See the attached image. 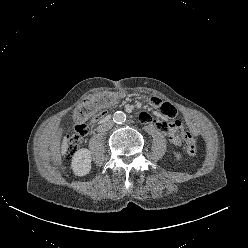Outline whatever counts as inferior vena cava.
<instances>
[{"mask_svg": "<svg viewBox=\"0 0 248 248\" xmlns=\"http://www.w3.org/2000/svg\"><path fill=\"white\" fill-rule=\"evenodd\" d=\"M113 126V122L110 120V121H107L103 124L100 125V130L101 131H107L109 129H111Z\"/></svg>", "mask_w": 248, "mask_h": 248, "instance_id": "1", "label": "inferior vena cava"}]
</instances>
